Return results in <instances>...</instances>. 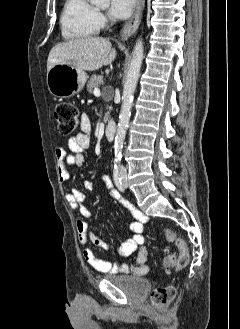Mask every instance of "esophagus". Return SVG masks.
<instances>
[{"label":"esophagus","mask_w":240,"mask_h":329,"mask_svg":"<svg viewBox=\"0 0 240 329\" xmlns=\"http://www.w3.org/2000/svg\"><path fill=\"white\" fill-rule=\"evenodd\" d=\"M143 3L144 0H136L133 15L121 31V38L123 40H127L137 29L141 20Z\"/></svg>","instance_id":"34e87169"}]
</instances>
